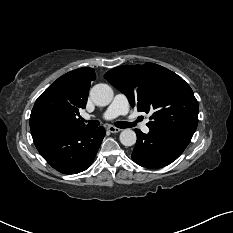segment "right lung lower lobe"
<instances>
[{"mask_svg": "<svg viewBox=\"0 0 233 233\" xmlns=\"http://www.w3.org/2000/svg\"><path fill=\"white\" fill-rule=\"evenodd\" d=\"M105 129H49L32 131L34 144L41 156L63 174L79 173L93 162L102 143Z\"/></svg>", "mask_w": 233, "mask_h": 233, "instance_id": "98d812e1", "label": "right lung lower lobe"}]
</instances>
